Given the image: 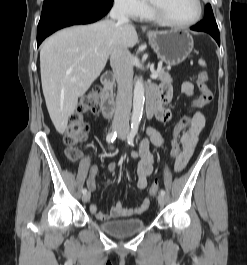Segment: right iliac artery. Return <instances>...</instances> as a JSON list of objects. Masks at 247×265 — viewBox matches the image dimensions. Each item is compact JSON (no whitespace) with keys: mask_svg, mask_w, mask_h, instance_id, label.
<instances>
[{"mask_svg":"<svg viewBox=\"0 0 247 265\" xmlns=\"http://www.w3.org/2000/svg\"><path fill=\"white\" fill-rule=\"evenodd\" d=\"M116 137H117V132L115 131V132H111V133H109L108 135H107V137H106V141L108 142V143H113V141L116 139ZM87 192V189H82V193L83 194H85Z\"/></svg>","mask_w":247,"mask_h":265,"instance_id":"obj_1","label":"right iliac artery"}]
</instances>
